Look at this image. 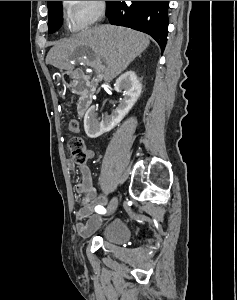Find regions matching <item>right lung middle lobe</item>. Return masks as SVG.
Wrapping results in <instances>:
<instances>
[{
	"label": "right lung middle lobe",
	"instance_id": "right-lung-middle-lobe-1",
	"mask_svg": "<svg viewBox=\"0 0 237 300\" xmlns=\"http://www.w3.org/2000/svg\"><path fill=\"white\" fill-rule=\"evenodd\" d=\"M63 9L61 1L48 2V33H54L62 25Z\"/></svg>",
	"mask_w": 237,
	"mask_h": 300
}]
</instances>
